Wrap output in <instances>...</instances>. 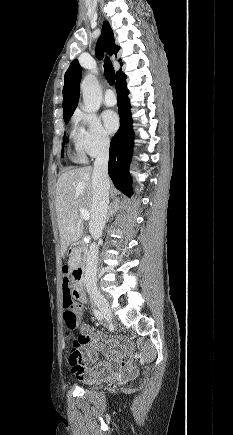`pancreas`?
Segmentation results:
<instances>
[{
	"instance_id": "1",
	"label": "pancreas",
	"mask_w": 233,
	"mask_h": 435,
	"mask_svg": "<svg viewBox=\"0 0 233 435\" xmlns=\"http://www.w3.org/2000/svg\"><path fill=\"white\" fill-rule=\"evenodd\" d=\"M78 262H79V256H75V257H73V258L71 259V261H70V265H71V266H75L76 263H78Z\"/></svg>"
}]
</instances>
